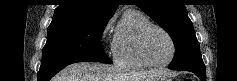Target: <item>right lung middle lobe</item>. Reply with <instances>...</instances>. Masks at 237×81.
Returning <instances> with one entry per match:
<instances>
[{"label": "right lung middle lobe", "mask_w": 237, "mask_h": 81, "mask_svg": "<svg viewBox=\"0 0 237 81\" xmlns=\"http://www.w3.org/2000/svg\"><path fill=\"white\" fill-rule=\"evenodd\" d=\"M109 20L84 17L53 19L43 48L42 61L59 58H95L112 61L105 54L100 39Z\"/></svg>", "instance_id": "dd1d6c3e"}]
</instances>
